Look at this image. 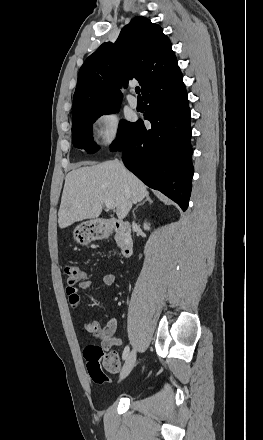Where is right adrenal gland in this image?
Wrapping results in <instances>:
<instances>
[{"label": "right adrenal gland", "mask_w": 263, "mask_h": 440, "mask_svg": "<svg viewBox=\"0 0 263 440\" xmlns=\"http://www.w3.org/2000/svg\"><path fill=\"white\" fill-rule=\"evenodd\" d=\"M145 202H149L150 204L153 203L152 199H151L149 196H146L145 200H144L143 202L139 203L138 205H136V207L133 209V215H134V218H136V217H135V210H136L139 206L143 205Z\"/></svg>", "instance_id": "right-adrenal-gland-1"}]
</instances>
